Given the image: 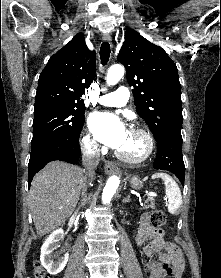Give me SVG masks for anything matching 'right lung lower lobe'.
<instances>
[{
  "instance_id": "1",
  "label": "right lung lower lobe",
  "mask_w": 221,
  "mask_h": 278,
  "mask_svg": "<svg viewBox=\"0 0 221 278\" xmlns=\"http://www.w3.org/2000/svg\"><path fill=\"white\" fill-rule=\"evenodd\" d=\"M80 152L79 136L51 135L33 143L28 164V187L34 175L48 162L63 160L75 164Z\"/></svg>"
}]
</instances>
